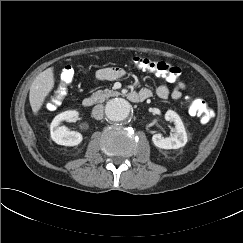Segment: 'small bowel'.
Instances as JSON below:
<instances>
[{"instance_id":"obj_1","label":"small bowel","mask_w":243,"mask_h":243,"mask_svg":"<svg viewBox=\"0 0 243 243\" xmlns=\"http://www.w3.org/2000/svg\"><path fill=\"white\" fill-rule=\"evenodd\" d=\"M125 75V71L119 67H106L100 69L96 73L97 81H111L122 78ZM186 89L184 82H179L173 90H170L166 83H160L156 87V95L161 99H167L171 97L174 100H179L183 96V92ZM137 93L146 95L149 98L152 95L151 90L147 88H141Z\"/></svg>"}]
</instances>
